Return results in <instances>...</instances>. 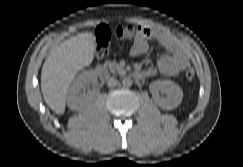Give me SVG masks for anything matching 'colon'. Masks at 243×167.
<instances>
[{"instance_id":"obj_1","label":"colon","mask_w":243,"mask_h":167,"mask_svg":"<svg viewBox=\"0 0 243 167\" xmlns=\"http://www.w3.org/2000/svg\"><path fill=\"white\" fill-rule=\"evenodd\" d=\"M139 31L136 25H120L115 28V35L121 40H131ZM111 29L107 25H100L96 30V45L95 54L97 58L103 59L108 55L111 39ZM185 76L188 80H192L195 76L194 69L188 67L185 71Z\"/></svg>"}]
</instances>
